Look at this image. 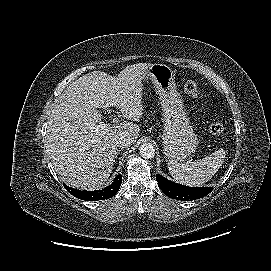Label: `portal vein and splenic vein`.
<instances>
[{
  "label": "portal vein and splenic vein",
  "instance_id": "obj_1",
  "mask_svg": "<svg viewBox=\"0 0 271 271\" xmlns=\"http://www.w3.org/2000/svg\"><path fill=\"white\" fill-rule=\"evenodd\" d=\"M112 122L113 123H118V118L117 117H114L113 119H112ZM110 127V124L109 123H103V122H101L99 125H96L95 127H94V129H95V131L97 132V131H100V130H106L107 128H109Z\"/></svg>",
  "mask_w": 271,
  "mask_h": 271
}]
</instances>
